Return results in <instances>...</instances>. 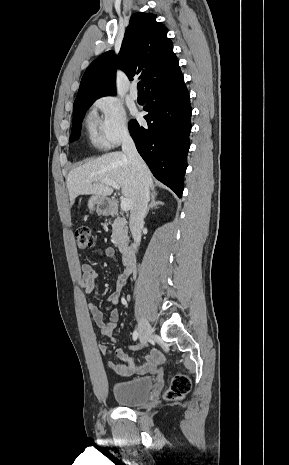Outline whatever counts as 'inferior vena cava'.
<instances>
[{
	"mask_svg": "<svg viewBox=\"0 0 289 465\" xmlns=\"http://www.w3.org/2000/svg\"><path fill=\"white\" fill-rule=\"evenodd\" d=\"M122 151L127 156L132 172L137 176V201L130 215V230L136 245L140 244L141 231L150 200L149 187L144 176L146 167L128 132L122 137Z\"/></svg>",
	"mask_w": 289,
	"mask_h": 465,
	"instance_id": "1",
	"label": "inferior vena cava"
}]
</instances>
